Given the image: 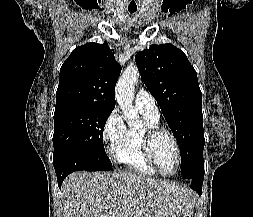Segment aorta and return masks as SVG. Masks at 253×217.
Segmentation results:
<instances>
[{"label":"aorta","mask_w":253,"mask_h":217,"mask_svg":"<svg viewBox=\"0 0 253 217\" xmlns=\"http://www.w3.org/2000/svg\"><path fill=\"white\" fill-rule=\"evenodd\" d=\"M139 79V71L135 65H129L119 78L116 88V101L121 107L124 118L129 123L138 118V113L133 107L135 84Z\"/></svg>","instance_id":"1"}]
</instances>
